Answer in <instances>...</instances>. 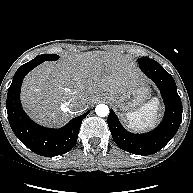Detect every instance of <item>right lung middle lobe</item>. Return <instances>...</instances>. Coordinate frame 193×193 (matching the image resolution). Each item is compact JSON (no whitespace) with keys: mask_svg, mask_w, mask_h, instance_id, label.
<instances>
[{"mask_svg":"<svg viewBox=\"0 0 193 193\" xmlns=\"http://www.w3.org/2000/svg\"><path fill=\"white\" fill-rule=\"evenodd\" d=\"M58 58H59V56L55 55V54H44V55L36 56L31 61L42 63L44 61H54V60H57Z\"/></svg>","mask_w":193,"mask_h":193,"instance_id":"1","label":"right lung middle lobe"}]
</instances>
